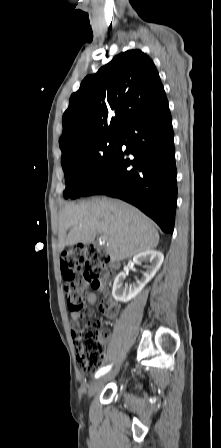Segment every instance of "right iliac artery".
<instances>
[{
  "instance_id": "1",
  "label": "right iliac artery",
  "mask_w": 221,
  "mask_h": 448,
  "mask_svg": "<svg viewBox=\"0 0 221 448\" xmlns=\"http://www.w3.org/2000/svg\"><path fill=\"white\" fill-rule=\"evenodd\" d=\"M111 369V366H106L101 368L95 375L96 378H98L99 376L105 374L106 372H108Z\"/></svg>"
}]
</instances>
